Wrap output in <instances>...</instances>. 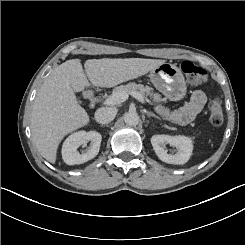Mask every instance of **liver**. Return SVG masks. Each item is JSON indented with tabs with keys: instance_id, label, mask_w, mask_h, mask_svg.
<instances>
[{
	"instance_id": "obj_1",
	"label": "liver",
	"mask_w": 245,
	"mask_h": 245,
	"mask_svg": "<svg viewBox=\"0 0 245 245\" xmlns=\"http://www.w3.org/2000/svg\"><path fill=\"white\" fill-rule=\"evenodd\" d=\"M163 63L165 60L104 58L86 60L84 67L94 86L111 88L145 75ZM87 77L79 59L68 60L50 73L37 93L30 120L32 139L38 152L50 163H55L64 136L89 123V116L74 93L90 85Z\"/></svg>"
}]
</instances>
